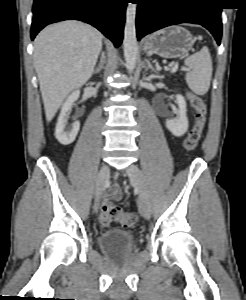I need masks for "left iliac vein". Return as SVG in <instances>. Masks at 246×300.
I'll return each mask as SVG.
<instances>
[{
  "label": "left iliac vein",
  "mask_w": 246,
  "mask_h": 300,
  "mask_svg": "<svg viewBox=\"0 0 246 300\" xmlns=\"http://www.w3.org/2000/svg\"><path fill=\"white\" fill-rule=\"evenodd\" d=\"M126 173L130 179L131 184L137 187L139 190L138 201L140 213L144 218L149 219L151 215V207L143 173L135 164L129 165Z\"/></svg>",
  "instance_id": "left-iliac-vein-1"
}]
</instances>
